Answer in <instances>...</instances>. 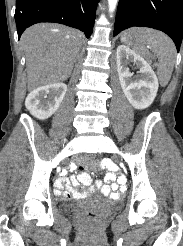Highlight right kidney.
<instances>
[{
  "label": "right kidney",
  "mask_w": 183,
  "mask_h": 246,
  "mask_svg": "<svg viewBox=\"0 0 183 246\" xmlns=\"http://www.w3.org/2000/svg\"><path fill=\"white\" fill-rule=\"evenodd\" d=\"M66 91L67 86L64 83L38 87L27 96L25 106L34 117L40 120L48 119L57 111Z\"/></svg>",
  "instance_id": "ca27d5eb"
}]
</instances>
